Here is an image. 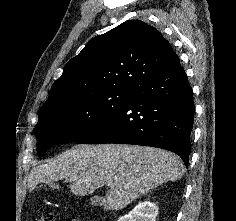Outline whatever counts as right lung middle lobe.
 I'll list each match as a JSON object with an SVG mask.
<instances>
[{"label": "right lung middle lobe", "mask_w": 236, "mask_h": 221, "mask_svg": "<svg viewBox=\"0 0 236 221\" xmlns=\"http://www.w3.org/2000/svg\"><path fill=\"white\" fill-rule=\"evenodd\" d=\"M132 94L131 89L106 91L41 108L34 129L38 156L55 144L78 141L118 110Z\"/></svg>", "instance_id": "obj_1"}]
</instances>
